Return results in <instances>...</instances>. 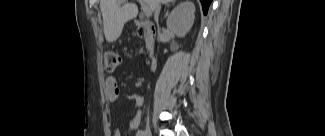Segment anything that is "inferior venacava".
<instances>
[{
	"instance_id": "1",
	"label": "inferior vena cava",
	"mask_w": 325,
	"mask_h": 136,
	"mask_svg": "<svg viewBox=\"0 0 325 136\" xmlns=\"http://www.w3.org/2000/svg\"><path fill=\"white\" fill-rule=\"evenodd\" d=\"M159 13H160V5L157 4L156 7H155V20H156V22H158Z\"/></svg>"
}]
</instances>
